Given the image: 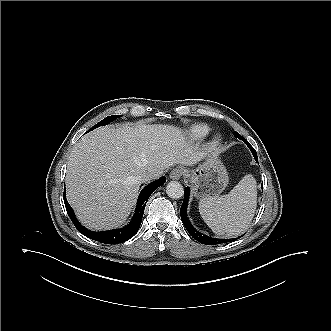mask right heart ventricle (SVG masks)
Listing matches in <instances>:
<instances>
[{
    "mask_svg": "<svg viewBox=\"0 0 331 331\" xmlns=\"http://www.w3.org/2000/svg\"><path fill=\"white\" fill-rule=\"evenodd\" d=\"M187 132L191 140L200 141L210 133V128L205 124H193Z\"/></svg>",
    "mask_w": 331,
    "mask_h": 331,
    "instance_id": "1",
    "label": "right heart ventricle"
}]
</instances>
